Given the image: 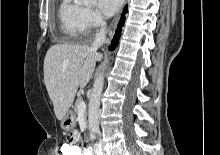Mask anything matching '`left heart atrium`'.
Listing matches in <instances>:
<instances>
[{"instance_id":"left-heart-atrium-1","label":"left heart atrium","mask_w":220,"mask_h":155,"mask_svg":"<svg viewBox=\"0 0 220 155\" xmlns=\"http://www.w3.org/2000/svg\"><path fill=\"white\" fill-rule=\"evenodd\" d=\"M122 2L123 0H98L97 7L102 14L112 16L118 11Z\"/></svg>"}]
</instances>
